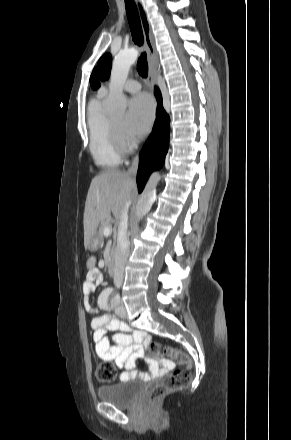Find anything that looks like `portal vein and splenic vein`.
Returning <instances> with one entry per match:
<instances>
[{
	"label": "portal vein and splenic vein",
	"mask_w": 291,
	"mask_h": 440,
	"mask_svg": "<svg viewBox=\"0 0 291 440\" xmlns=\"http://www.w3.org/2000/svg\"><path fill=\"white\" fill-rule=\"evenodd\" d=\"M112 234V228H111V226L109 227V226H106L105 227V229H104V235H106V236H110Z\"/></svg>",
	"instance_id": "portal-vein-and-splenic-vein-1"
}]
</instances>
